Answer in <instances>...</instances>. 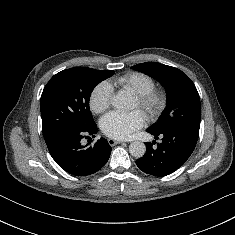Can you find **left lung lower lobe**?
I'll list each match as a JSON object with an SVG mask.
<instances>
[{
    "instance_id": "left-lung-lower-lobe-1",
    "label": "left lung lower lobe",
    "mask_w": 235,
    "mask_h": 235,
    "mask_svg": "<svg viewBox=\"0 0 235 235\" xmlns=\"http://www.w3.org/2000/svg\"><path fill=\"white\" fill-rule=\"evenodd\" d=\"M147 132L156 139L161 135L162 143L157 148L147 143L145 155L136 160V164L143 172L154 176H166L181 167L192 154L199 135V129L193 127H179L162 133L148 129Z\"/></svg>"
}]
</instances>
